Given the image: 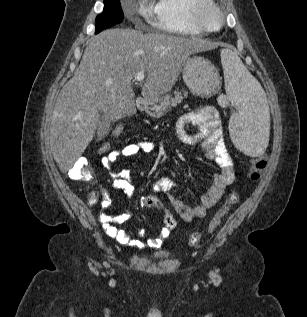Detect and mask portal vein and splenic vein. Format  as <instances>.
<instances>
[{"label":"portal vein and splenic vein","instance_id":"18ae733b","mask_svg":"<svg viewBox=\"0 0 307 317\" xmlns=\"http://www.w3.org/2000/svg\"><path fill=\"white\" fill-rule=\"evenodd\" d=\"M144 78H145L144 72H139L135 75L134 80L137 82H141L144 80Z\"/></svg>","mask_w":307,"mask_h":317}]
</instances>
